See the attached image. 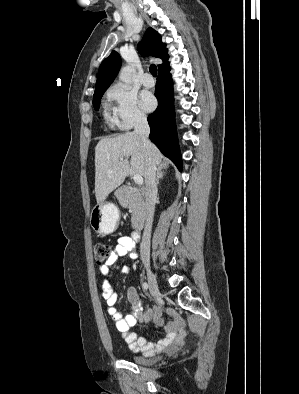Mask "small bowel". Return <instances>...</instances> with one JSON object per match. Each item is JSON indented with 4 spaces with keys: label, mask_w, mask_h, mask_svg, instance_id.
I'll return each mask as SVG.
<instances>
[{
    "label": "small bowel",
    "mask_w": 299,
    "mask_h": 394,
    "mask_svg": "<svg viewBox=\"0 0 299 394\" xmlns=\"http://www.w3.org/2000/svg\"><path fill=\"white\" fill-rule=\"evenodd\" d=\"M134 247L135 241L131 236L121 235L117 238L111 257L105 264L99 267L103 278L102 292L108 306V313L114 320L116 329L122 334L125 343L132 351L141 352L144 356L150 357L165 350H172L178 346L185 336V331L183 330L182 319L171 309L168 310V313L174 317V320L169 323H164L162 320L160 308L144 311L143 303L137 289L134 287L127 289V298L132 307L130 313L123 317L116 309L118 294L111 285V270L118 259L122 257H129L131 261L135 262L137 255L133 252ZM125 271L126 269L122 270V272ZM139 321L144 323L153 321L156 326L165 329L166 336L156 343L148 342L144 337L138 336L137 333L132 331V328Z\"/></svg>",
    "instance_id": "obj_1"
}]
</instances>
